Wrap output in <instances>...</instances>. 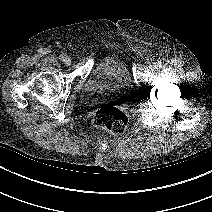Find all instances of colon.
Here are the masks:
<instances>
[{
    "label": "colon",
    "mask_w": 212,
    "mask_h": 212,
    "mask_svg": "<svg viewBox=\"0 0 212 212\" xmlns=\"http://www.w3.org/2000/svg\"><path fill=\"white\" fill-rule=\"evenodd\" d=\"M92 123L97 129L118 134L125 130L128 124V117L118 108L105 106L97 110L92 118Z\"/></svg>",
    "instance_id": "1"
}]
</instances>
